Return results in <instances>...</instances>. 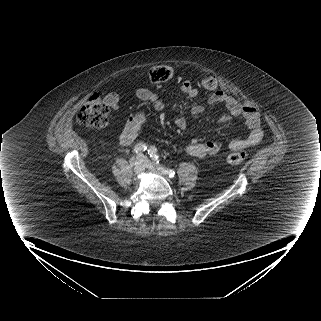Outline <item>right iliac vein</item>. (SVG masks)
Segmentation results:
<instances>
[{
    "label": "right iliac vein",
    "mask_w": 321,
    "mask_h": 321,
    "mask_svg": "<svg viewBox=\"0 0 321 321\" xmlns=\"http://www.w3.org/2000/svg\"><path fill=\"white\" fill-rule=\"evenodd\" d=\"M130 163L134 165L136 175H141L145 171V164L142 158L131 159Z\"/></svg>",
    "instance_id": "right-iliac-vein-1"
}]
</instances>
